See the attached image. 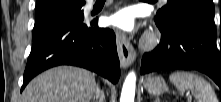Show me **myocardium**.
<instances>
[{"label": "myocardium", "mask_w": 221, "mask_h": 102, "mask_svg": "<svg viewBox=\"0 0 221 102\" xmlns=\"http://www.w3.org/2000/svg\"><path fill=\"white\" fill-rule=\"evenodd\" d=\"M157 41H158L157 36L154 35V34H151L146 39V45L148 47H152V46H154L157 43Z\"/></svg>", "instance_id": "f54148a6"}]
</instances>
